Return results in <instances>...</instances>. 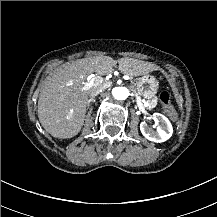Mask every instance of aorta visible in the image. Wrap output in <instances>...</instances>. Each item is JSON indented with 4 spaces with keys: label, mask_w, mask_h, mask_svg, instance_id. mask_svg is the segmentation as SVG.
<instances>
[{
    "label": "aorta",
    "mask_w": 217,
    "mask_h": 217,
    "mask_svg": "<svg viewBox=\"0 0 217 217\" xmlns=\"http://www.w3.org/2000/svg\"><path fill=\"white\" fill-rule=\"evenodd\" d=\"M112 95L117 100H125L129 95V90L126 87H115L112 89Z\"/></svg>",
    "instance_id": "obj_1"
}]
</instances>
